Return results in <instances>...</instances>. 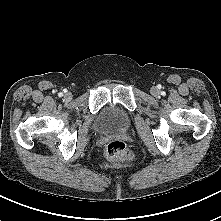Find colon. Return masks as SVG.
Masks as SVG:
<instances>
[{"mask_svg": "<svg viewBox=\"0 0 221 221\" xmlns=\"http://www.w3.org/2000/svg\"><path fill=\"white\" fill-rule=\"evenodd\" d=\"M106 156L113 161L129 163L133 160V153L128 146L119 140L110 142L106 146Z\"/></svg>", "mask_w": 221, "mask_h": 221, "instance_id": "colon-1", "label": "colon"}]
</instances>
